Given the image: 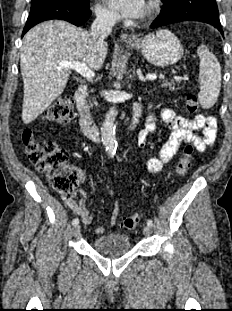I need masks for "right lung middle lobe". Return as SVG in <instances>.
Segmentation results:
<instances>
[{
	"instance_id": "dd1d6c3e",
	"label": "right lung middle lobe",
	"mask_w": 232,
	"mask_h": 311,
	"mask_svg": "<svg viewBox=\"0 0 232 311\" xmlns=\"http://www.w3.org/2000/svg\"><path fill=\"white\" fill-rule=\"evenodd\" d=\"M47 2H60V3L72 4L83 9H89V0H32L31 5L34 6V5H38L41 3H47Z\"/></svg>"
}]
</instances>
